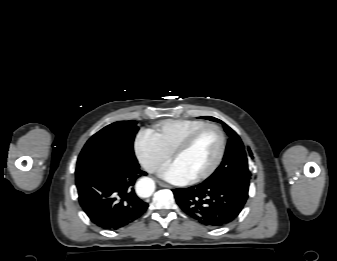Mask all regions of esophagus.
Instances as JSON below:
<instances>
[{
  "label": "esophagus",
  "instance_id": "34e87169",
  "mask_svg": "<svg viewBox=\"0 0 337 261\" xmlns=\"http://www.w3.org/2000/svg\"><path fill=\"white\" fill-rule=\"evenodd\" d=\"M158 184H159V186L164 187V188H170V189L173 188L171 185L166 184L162 181H158Z\"/></svg>",
  "mask_w": 337,
  "mask_h": 261
}]
</instances>
